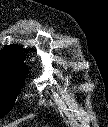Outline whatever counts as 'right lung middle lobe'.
Returning <instances> with one entry per match:
<instances>
[{"mask_svg":"<svg viewBox=\"0 0 108 127\" xmlns=\"http://www.w3.org/2000/svg\"><path fill=\"white\" fill-rule=\"evenodd\" d=\"M27 66L16 63L0 65V117L12 108L14 100L24 85Z\"/></svg>","mask_w":108,"mask_h":127,"instance_id":"1","label":"right lung middle lobe"}]
</instances>
